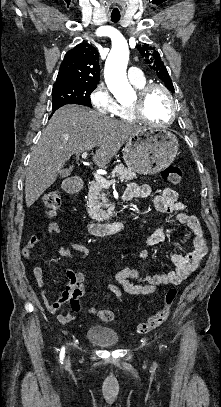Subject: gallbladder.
<instances>
[{
    "label": "gallbladder",
    "instance_id": "1",
    "mask_svg": "<svg viewBox=\"0 0 221 407\" xmlns=\"http://www.w3.org/2000/svg\"><path fill=\"white\" fill-rule=\"evenodd\" d=\"M70 172H71L70 169H63V170H61L60 175H61L62 177H66V176H69V175H70Z\"/></svg>",
    "mask_w": 221,
    "mask_h": 407
}]
</instances>
